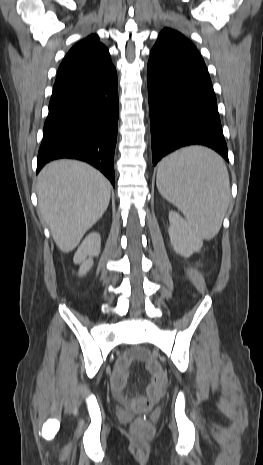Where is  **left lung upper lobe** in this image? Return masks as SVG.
Masks as SVG:
<instances>
[{"mask_svg": "<svg viewBox=\"0 0 263 465\" xmlns=\"http://www.w3.org/2000/svg\"><path fill=\"white\" fill-rule=\"evenodd\" d=\"M155 45H169L197 51L196 47L191 41L185 38L181 33L169 28H165L160 32L159 38Z\"/></svg>", "mask_w": 263, "mask_h": 465, "instance_id": "5c2ea615", "label": "left lung upper lobe"}]
</instances>
